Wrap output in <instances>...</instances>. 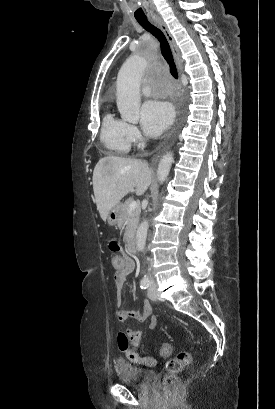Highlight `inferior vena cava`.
I'll list each match as a JSON object with an SVG mask.
<instances>
[{
    "instance_id": "inferior-vena-cava-1",
    "label": "inferior vena cava",
    "mask_w": 275,
    "mask_h": 409,
    "mask_svg": "<svg viewBox=\"0 0 275 409\" xmlns=\"http://www.w3.org/2000/svg\"><path fill=\"white\" fill-rule=\"evenodd\" d=\"M150 281H153L152 277H151Z\"/></svg>"
}]
</instances>
